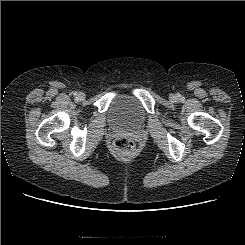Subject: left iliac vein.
<instances>
[{"mask_svg":"<svg viewBox=\"0 0 245 245\" xmlns=\"http://www.w3.org/2000/svg\"><path fill=\"white\" fill-rule=\"evenodd\" d=\"M170 100H171L172 102H174V101L177 100V97H176L175 95H171V96H170Z\"/></svg>","mask_w":245,"mask_h":245,"instance_id":"1","label":"left iliac vein"}]
</instances>
